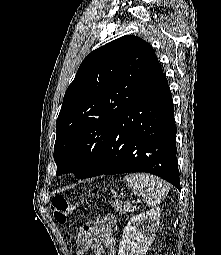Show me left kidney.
I'll return each instance as SVG.
<instances>
[{"label": "left kidney", "instance_id": "left-kidney-1", "mask_svg": "<svg viewBox=\"0 0 221 255\" xmlns=\"http://www.w3.org/2000/svg\"><path fill=\"white\" fill-rule=\"evenodd\" d=\"M159 207L133 216L123 230L118 255H144L158 230Z\"/></svg>", "mask_w": 221, "mask_h": 255}]
</instances>
